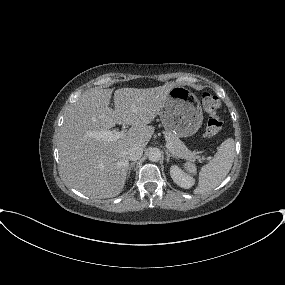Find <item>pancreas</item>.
Returning a JSON list of instances; mask_svg holds the SVG:
<instances>
[{
    "label": "pancreas",
    "mask_w": 285,
    "mask_h": 285,
    "mask_svg": "<svg viewBox=\"0 0 285 285\" xmlns=\"http://www.w3.org/2000/svg\"><path fill=\"white\" fill-rule=\"evenodd\" d=\"M167 143L172 145V149L170 152L179 158L186 159L189 161H194L197 158L196 152L190 151L186 145L179 139L178 136L173 134L172 132L165 133Z\"/></svg>",
    "instance_id": "1"
}]
</instances>
